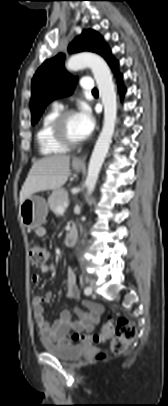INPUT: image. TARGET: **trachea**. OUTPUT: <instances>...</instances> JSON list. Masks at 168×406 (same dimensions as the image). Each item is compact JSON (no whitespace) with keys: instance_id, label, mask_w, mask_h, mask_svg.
Masks as SVG:
<instances>
[{"instance_id":"trachea-1","label":"trachea","mask_w":168,"mask_h":406,"mask_svg":"<svg viewBox=\"0 0 168 406\" xmlns=\"http://www.w3.org/2000/svg\"><path fill=\"white\" fill-rule=\"evenodd\" d=\"M92 93H98V90L96 88H94Z\"/></svg>"}]
</instances>
